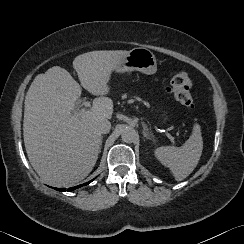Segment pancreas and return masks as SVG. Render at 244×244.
I'll return each instance as SVG.
<instances>
[{"instance_id": "obj_1", "label": "pancreas", "mask_w": 244, "mask_h": 244, "mask_svg": "<svg viewBox=\"0 0 244 244\" xmlns=\"http://www.w3.org/2000/svg\"><path fill=\"white\" fill-rule=\"evenodd\" d=\"M126 96H127V95H123L122 97H123V98H126ZM136 99H137V100H141V99L138 98V97H137Z\"/></svg>"}]
</instances>
